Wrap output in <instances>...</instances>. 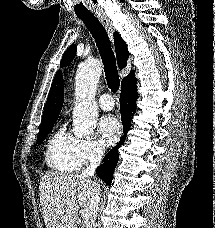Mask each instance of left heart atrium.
<instances>
[{
  "mask_svg": "<svg viewBox=\"0 0 215 228\" xmlns=\"http://www.w3.org/2000/svg\"><path fill=\"white\" fill-rule=\"evenodd\" d=\"M98 130L102 141L106 145H112L119 139L122 127L115 116L106 115L100 120Z\"/></svg>",
  "mask_w": 215,
  "mask_h": 228,
  "instance_id": "left-heart-atrium-1",
  "label": "left heart atrium"
}]
</instances>
